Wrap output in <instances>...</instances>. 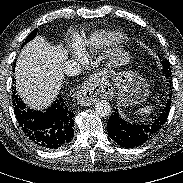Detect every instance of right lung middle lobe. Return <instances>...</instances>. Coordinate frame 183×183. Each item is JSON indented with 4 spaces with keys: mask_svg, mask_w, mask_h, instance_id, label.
<instances>
[{
    "mask_svg": "<svg viewBox=\"0 0 183 183\" xmlns=\"http://www.w3.org/2000/svg\"><path fill=\"white\" fill-rule=\"evenodd\" d=\"M36 34H37V29H35L34 31H32L30 33V35L27 37V39H25L24 44H26L27 42H29L30 40H32L36 36Z\"/></svg>",
    "mask_w": 183,
    "mask_h": 183,
    "instance_id": "dd1d6c3e",
    "label": "right lung middle lobe"
}]
</instances>
